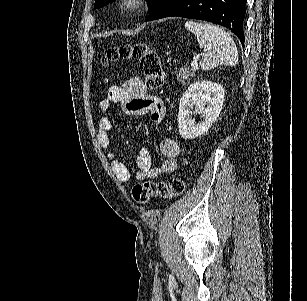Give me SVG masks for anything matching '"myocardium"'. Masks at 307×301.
I'll use <instances>...</instances> for the list:
<instances>
[{
  "instance_id": "f54148a6",
  "label": "myocardium",
  "mask_w": 307,
  "mask_h": 301,
  "mask_svg": "<svg viewBox=\"0 0 307 301\" xmlns=\"http://www.w3.org/2000/svg\"><path fill=\"white\" fill-rule=\"evenodd\" d=\"M134 5H135V4H131V5L126 4V5H125V8H126V9H129V8L131 9V8H133V7H134Z\"/></svg>"
}]
</instances>
